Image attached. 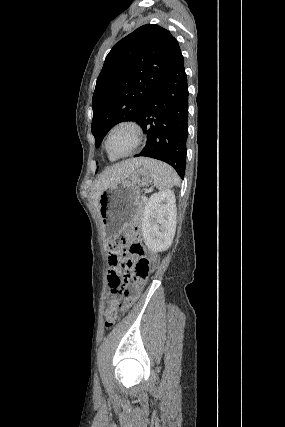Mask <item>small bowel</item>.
<instances>
[{"mask_svg": "<svg viewBox=\"0 0 285 427\" xmlns=\"http://www.w3.org/2000/svg\"><path fill=\"white\" fill-rule=\"evenodd\" d=\"M126 258H127L126 254H122L119 257L110 255V258H109V265H110L109 275L110 274H123V271L119 267V263L118 262H119V260H124ZM154 262H157V258L156 257H154ZM133 301L134 300H131V301L129 300L127 302L125 308H128L133 303Z\"/></svg>", "mask_w": 285, "mask_h": 427, "instance_id": "obj_1", "label": "small bowel"}]
</instances>
